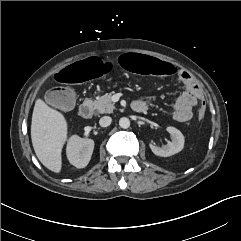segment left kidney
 <instances>
[{
	"label": "left kidney",
	"mask_w": 241,
	"mask_h": 241,
	"mask_svg": "<svg viewBox=\"0 0 241 241\" xmlns=\"http://www.w3.org/2000/svg\"><path fill=\"white\" fill-rule=\"evenodd\" d=\"M166 130L168 133H170L172 141H169L167 145L163 147H158L152 143L149 144L150 149L157 156L169 157L180 152L184 147V136L178 129L169 126Z\"/></svg>",
	"instance_id": "5707ae66"
}]
</instances>
